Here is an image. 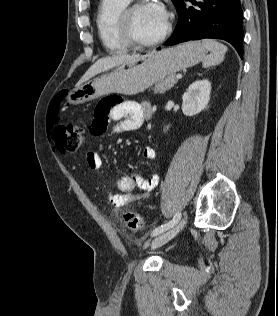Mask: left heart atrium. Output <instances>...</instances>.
Instances as JSON below:
<instances>
[{
    "mask_svg": "<svg viewBox=\"0 0 278 316\" xmlns=\"http://www.w3.org/2000/svg\"><path fill=\"white\" fill-rule=\"evenodd\" d=\"M148 6L158 18L167 22L168 13L162 2L157 1V0H152V2L148 3Z\"/></svg>",
    "mask_w": 278,
    "mask_h": 316,
    "instance_id": "obj_1",
    "label": "left heart atrium"
}]
</instances>
